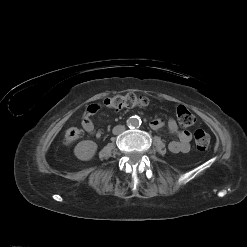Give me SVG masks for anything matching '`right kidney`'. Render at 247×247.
Here are the masks:
<instances>
[{
    "label": "right kidney",
    "mask_w": 247,
    "mask_h": 247,
    "mask_svg": "<svg viewBox=\"0 0 247 247\" xmlns=\"http://www.w3.org/2000/svg\"><path fill=\"white\" fill-rule=\"evenodd\" d=\"M97 151V144L91 140L79 142L74 148L75 156L82 161L90 160Z\"/></svg>",
    "instance_id": "right-kidney-1"
}]
</instances>
